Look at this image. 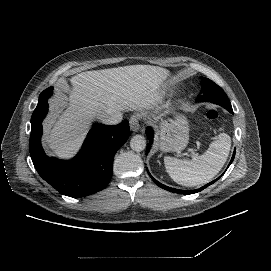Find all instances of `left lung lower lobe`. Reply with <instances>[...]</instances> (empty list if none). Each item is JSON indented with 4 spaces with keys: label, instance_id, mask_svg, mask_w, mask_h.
<instances>
[{
    "label": "left lung lower lobe",
    "instance_id": "0a47b994",
    "mask_svg": "<svg viewBox=\"0 0 271 271\" xmlns=\"http://www.w3.org/2000/svg\"><path fill=\"white\" fill-rule=\"evenodd\" d=\"M229 112L233 114V110H230ZM146 134H147V136H148L149 139H150V143H152V138H153V136H154V133H153V130H152L151 127H147V129H146ZM150 147H151V144H148L147 149H146V154L149 152ZM235 152H236V150H234V152H233V156H232V158H231V161H230L228 167L230 166V164H231V163L233 162V160H234ZM228 167H227V168H228ZM148 173H149V172H148ZM149 175H150V173H149ZM150 177L152 178V180H153L159 187H161V188H163V189H165V190H168V191H170V192L179 193V194H193V193H197V192L203 190L204 188L208 187L209 185L213 184L215 181H217V180L220 178V177H218L216 180H213L212 182H210V183L204 185L203 187H201V188H199V189L192 190V191H183V190H178V189H174V188L165 186V185L161 184L160 182H158L157 180H155L151 175H150Z\"/></svg>",
    "mask_w": 271,
    "mask_h": 271
}]
</instances>
